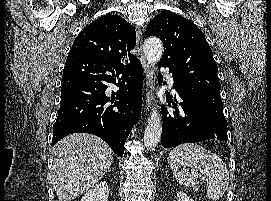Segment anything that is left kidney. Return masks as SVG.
Segmentation results:
<instances>
[{"label": "left kidney", "instance_id": "1", "mask_svg": "<svg viewBox=\"0 0 271 201\" xmlns=\"http://www.w3.org/2000/svg\"><path fill=\"white\" fill-rule=\"evenodd\" d=\"M177 196H178V200L177 201H194L191 198H189V196H187L186 194H184L182 192H179L177 194Z\"/></svg>", "mask_w": 271, "mask_h": 201}]
</instances>
